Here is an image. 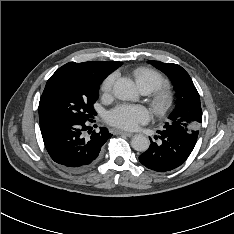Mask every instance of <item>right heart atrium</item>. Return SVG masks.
Segmentation results:
<instances>
[{
	"label": "right heart atrium",
	"instance_id": "d8ad5b80",
	"mask_svg": "<svg viewBox=\"0 0 234 234\" xmlns=\"http://www.w3.org/2000/svg\"><path fill=\"white\" fill-rule=\"evenodd\" d=\"M116 76L115 74H110L107 76L101 84V90L103 93L107 94L112 90Z\"/></svg>",
	"mask_w": 234,
	"mask_h": 234
}]
</instances>
